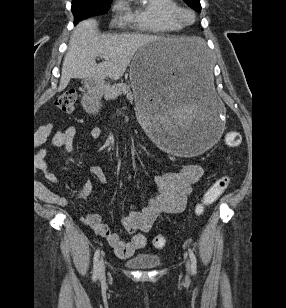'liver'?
I'll use <instances>...</instances> for the list:
<instances>
[{"mask_svg": "<svg viewBox=\"0 0 286 308\" xmlns=\"http://www.w3.org/2000/svg\"><path fill=\"white\" fill-rule=\"evenodd\" d=\"M97 26L96 20L88 19L74 29L64 57L58 91L64 90L72 78H89L98 84H102L106 77L120 79L140 47L163 38L141 33L98 36ZM167 39L173 53L180 59L192 61L203 53L204 42L200 38ZM103 55L108 59L97 64L96 58Z\"/></svg>", "mask_w": 286, "mask_h": 308, "instance_id": "liver-1", "label": "liver"}]
</instances>
